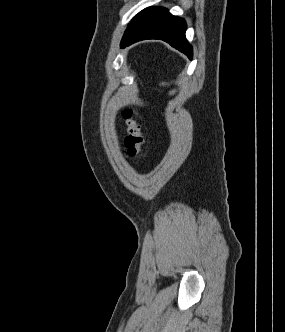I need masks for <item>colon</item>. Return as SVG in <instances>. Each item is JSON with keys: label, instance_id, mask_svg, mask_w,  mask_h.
<instances>
[{"label": "colon", "instance_id": "obj_1", "mask_svg": "<svg viewBox=\"0 0 285 332\" xmlns=\"http://www.w3.org/2000/svg\"><path fill=\"white\" fill-rule=\"evenodd\" d=\"M123 118L125 120L127 131V135L124 141L125 155L130 159H134L143 153V135L141 133L140 125L134 117L132 110H124Z\"/></svg>", "mask_w": 285, "mask_h": 332}]
</instances>
